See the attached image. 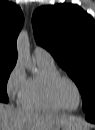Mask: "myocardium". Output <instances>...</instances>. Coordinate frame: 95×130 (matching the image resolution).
Segmentation results:
<instances>
[{
	"instance_id": "1",
	"label": "myocardium",
	"mask_w": 95,
	"mask_h": 130,
	"mask_svg": "<svg viewBox=\"0 0 95 130\" xmlns=\"http://www.w3.org/2000/svg\"><path fill=\"white\" fill-rule=\"evenodd\" d=\"M61 81H68V82L72 83L75 86V88L77 89V91L79 93V104L76 108L70 109V108L65 107L62 104V102L60 101V99L58 98V96H57V86ZM47 91H48V95H49L50 99L52 100V102L55 103L58 107H60L64 111L75 112L83 104V100H84L83 91H82L80 85L74 79H72L69 76L58 74V75L52 77L48 82Z\"/></svg>"
}]
</instances>
